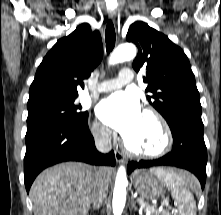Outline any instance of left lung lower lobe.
Returning <instances> with one entry per match:
<instances>
[{"mask_svg":"<svg viewBox=\"0 0 221 215\" xmlns=\"http://www.w3.org/2000/svg\"><path fill=\"white\" fill-rule=\"evenodd\" d=\"M168 125L174 140L172 151L156 160L130 162L128 173L135 168L175 166L195 174L203 189L206 182L207 149L201 115L178 110L174 112Z\"/></svg>","mask_w":221,"mask_h":215,"instance_id":"1","label":"left lung lower lobe"}]
</instances>
